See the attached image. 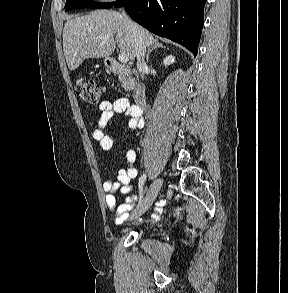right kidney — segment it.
<instances>
[{"mask_svg":"<svg viewBox=\"0 0 288 293\" xmlns=\"http://www.w3.org/2000/svg\"><path fill=\"white\" fill-rule=\"evenodd\" d=\"M174 62H175V57H174L173 55H168V56L164 59L163 64H164L165 66H167V65L173 64Z\"/></svg>","mask_w":288,"mask_h":293,"instance_id":"obj_1","label":"right kidney"}]
</instances>
